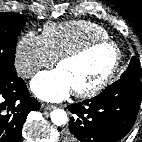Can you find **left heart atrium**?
I'll return each mask as SVG.
<instances>
[{
    "label": "left heart atrium",
    "mask_w": 142,
    "mask_h": 142,
    "mask_svg": "<svg viewBox=\"0 0 142 142\" xmlns=\"http://www.w3.org/2000/svg\"><path fill=\"white\" fill-rule=\"evenodd\" d=\"M34 94L44 101H61L73 91L67 76L59 69L39 73L31 82Z\"/></svg>",
    "instance_id": "left-heart-atrium-1"
}]
</instances>
